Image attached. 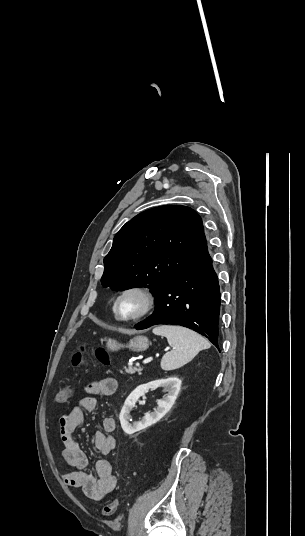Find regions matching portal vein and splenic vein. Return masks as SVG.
Wrapping results in <instances>:
<instances>
[{
    "mask_svg": "<svg viewBox=\"0 0 305 536\" xmlns=\"http://www.w3.org/2000/svg\"><path fill=\"white\" fill-rule=\"evenodd\" d=\"M153 358H146V360H143V364H148V362H152Z\"/></svg>",
    "mask_w": 305,
    "mask_h": 536,
    "instance_id": "18ae733b",
    "label": "portal vein and splenic vein"
}]
</instances>
